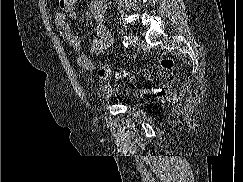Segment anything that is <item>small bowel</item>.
Returning <instances> with one entry per match:
<instances>
[{
  "mask_svg": "<svg viewBox=\"0 0 243 182\" xmlns=\"http://www.w3.org/2000/svg\"><path fill=\"white\" fill-rule=\"evenodd\" d=\"M59 4L60 11L55 14L54 21L60 36L78 53L76 58L77 64L85 71H93L96 65L86 54L81 53V40L73 33L70 25L71 20L75 18L77 0H59ZM105 10V0H91L89 11L96 22L95 36L91 42V51L97 55L104 53L113 43V36L108 28L101 23Z\"/></svg>",
  "mask_w": 243,
  "mask_h": 182,
  "instance_id": "small-bowel-1",
  "label": "small bowel"
}]
</instances>
